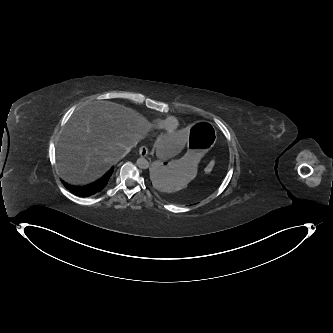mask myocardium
I'll return each instance as SVG.
<instances>
[{
	"label": "myocardium",
	"mask_w": 333,
	"mask_h": 333,
	"mask_svg": "<svg viewBox=\"0 0 333 333\" xmlns=\"http://www.w3.org/2000/svg\"><path fill=\"white\" fill-rule=\"evenodd\" d=\"M173 121V117H169L166 121H165V124H164V127H163V130H164V133H165V136H172L174 135L177 130H178V127H174L172 129L169 128V123Z\"/></svg>",
	"instance_id": "obj_1"
}]
</instances>
